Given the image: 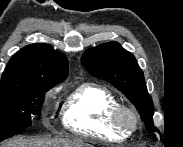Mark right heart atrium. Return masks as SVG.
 Returning <instances> with one entry per match:
<instances>
[{"label":"right heart atrium","mask_w":183,"mask_h":147,"mask_svg":"<svg viewBox=\"0 0 183 147\" xmlns=\"http://www.w3.org/2000/svg\"><path fill=\"white\" fill-rule=\"evenodd\" d=\"M50 96H52V92H50V93L48 94V97H50Z\"/></svg>","instance_id":"d8ad5b80"}]
</instances>
